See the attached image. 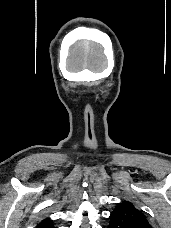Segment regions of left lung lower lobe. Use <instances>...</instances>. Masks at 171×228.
Listing matches in <instances>:
<instances>
[{"label":"left lung lower lobe","mask_w":171,"mask_h":228,"mask_svg":"<svg viewBox=\"0 0 171 228\" xmlns=\"http://www.w3.org/2000/svg\"><path fill=\"white\" fill-rule=\"evenodd\" d=\"M108 228H114V226L111 225V223H110ZM121 228H152V227L149 225H142V224H127Z\"/></svg>","instance_id":"1"}]
</instances>
